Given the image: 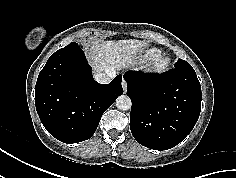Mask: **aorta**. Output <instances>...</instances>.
I'll list each match as a JSON object with an SVG mask.
<instances>
[{
  "label": "aorta",
  "instance_id": "aorta-1",
  "mask_svg": "<svg viewBox=\"0 0 236 178\" xmlns=\"http://www.w3.org/2000/svg\"><path fill=\"white\" fill-rule=\"evenodd\" d=\"M116 107L121 111L129 110L132 106V102L129 96L127 95H120L116 99Z\"/></svg>",
  "mask_w": 236,
  "mask_h": 178
}]
</instances>
